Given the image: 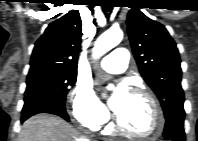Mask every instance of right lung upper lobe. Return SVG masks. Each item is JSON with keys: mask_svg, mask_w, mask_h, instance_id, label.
Listing matches in <instances>:
<instances>
[{"mask_svg": "<svg viewBox=\"0 0 198 141\" xmlns=\"http://www.w3.org/2000/svg\"><path fill=\"white\" fill-rule=\"evenodd\" d=\"M81 30L80 14L75 10L52 22L35 43L29 72H77Z\"/></svg>", "mask_w": 198, "mask_h": 141, "instance_id": "right-lung-upper-lobe-1", "label": "right lung upper lobe"}]
</instances>
